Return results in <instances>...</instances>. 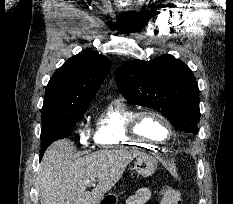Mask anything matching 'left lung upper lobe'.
<instances>
[{
    "instance_id": "1",
    "label": "left lung upper lobe",
    "mask_w": 233,
    "mask_h": 204,
    "mask_svg": "<svg viewBox=\"0 0 233 204\" xmlns=\"http://www.w3.org/2000/svg\"><path fill=\"white\" fill-rule=\"evenodd\" d=\"M115 79L132 104L157 109L177 130L198 133V84L181 60L168 54L151 61L133 60L118 67Z\"/></svg>"
}]
</instances>
